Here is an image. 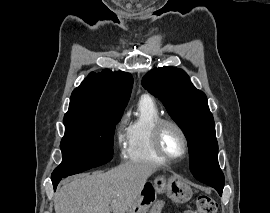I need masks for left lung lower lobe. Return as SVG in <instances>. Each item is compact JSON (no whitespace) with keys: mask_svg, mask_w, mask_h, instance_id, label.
I'll return each mask as SVG.
<instances>
[{"mask_svg":"<svg viewBox=\"0 0 270 213\" xmlns=\"http://www.w3.org/2000/svg\"><path fill=\"white\" fill-rule=\"evenodd\" d=\"M190 171H191V170H190ZM191 173L195 176V173H193L192 171H191ZM219 194L222 195V192H220Z\"/></svg>","mask_w":270,"mask_h":213,"instance_id":"0a47b994","label":"left lung lower lobe"}]
</instances>
